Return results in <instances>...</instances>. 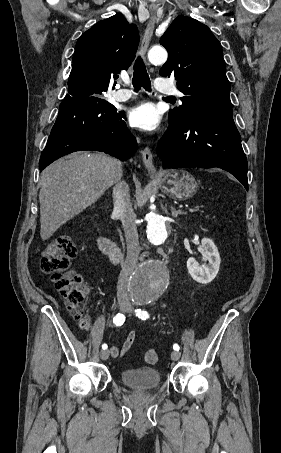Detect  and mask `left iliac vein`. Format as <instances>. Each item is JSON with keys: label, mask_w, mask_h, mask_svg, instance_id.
I'll return each mask as SVG.
<instances>
[{"label": "left iliac vein", "mask_w": 281, "mask_h": 453, "mask_svg": "<svg viewBox=\"0 0 281 453\" xmlns=\"http://www.w3.org/2000/svg\"><path fill=\"white\" fill-rule=\"evenodd\" d=\"M132 311L131 305H126L125 313H132ZM171 357L174 362H177L180 358V354L178 351H172Z\"/></svg>", "instance_id": "4c4485c4"}]
</instances>
